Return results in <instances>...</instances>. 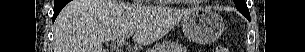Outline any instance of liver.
Here are the masks:
<instances>
[{
    "label": "liver",
    "mask_w": 305,
    "mask_h": 52,
    "mask_svg": "<svg viewBox=\"0 0 305 52\" xmlns=\"http://www.w3.org/2000/svg\"><path fill=\"white\" fill-rule=\"evenodd\" d=\"M193 9L141 6L116 0H72L54 27V52H104L102 43L134 33L133 40L149 45L166 35Z\"/></svg>",
    "instance_id": "obj_1"
}]
</instances>
